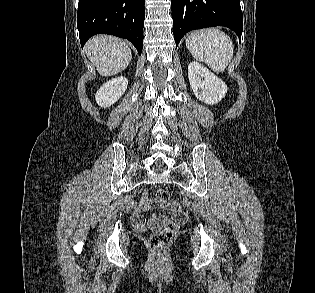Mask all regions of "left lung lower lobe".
<instances>
[{
  "label": "left lung lower lobe",
  "mask_w": 315,
  "mask_h": 293,
  "mask_svg": "<svg viewBox=\"0 0 315 293\" xmlns=\"http://www.w3.org/2000/svg\"><path fill=\"white\" fill-rule=\"evenodd\" d=\"M176 47L189 31L225 26L241 38L243 17L240 0H172Z\"/></svg>",
  "instance_id": "0a47b994"
}]
</instances>
